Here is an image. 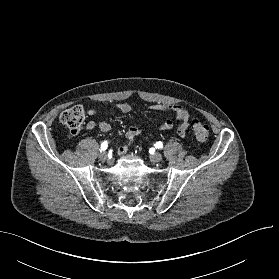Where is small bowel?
<instances>
[{
    "label": "small bowel",
    "mask_w": 279,
    "mask_h": 279,
    "mask_svg": "<svg viewBox=\"0 0 279 279\" xmlns=\"http://www.w3.org/2000/svg\"><path fill=\"white\" fill-rule=\"evenodd\" d=\"M117 108L122 113H128L131 111V106L128 103H121L117 105ZM152 111H169L173 113L175 118L180 121L177 127V134L184 138L186 136L187 129L190 125V113L187 108L181 104L164 105V104H153L150 106ZM97 113L96 109L91 108L87 111L88 116L93 117ZM86 129L93 130L99 129L103 133L111 131V125L105 121H93L90 120L85 125ZM173 128V122L171 120H165L158 127L159 132H167ZM143 133V129L138 125H133L125 134V141L117 149L119 155L125 154L129 147L134 143L136 137Z\"/></svg>",
    "instance_id": "small-bowel-1"
}]
</instances>
